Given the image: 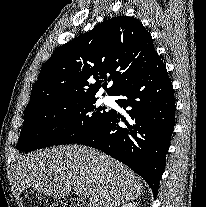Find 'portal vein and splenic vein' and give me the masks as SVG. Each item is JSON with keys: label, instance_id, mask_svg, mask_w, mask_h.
Returning a JSON list of instances; mask_svg holds the SVG:
<instances>
[{"label": "portal vein and splenic vein", "instance_id": "portal-vein-and-splenic-vein-1", "mask_svg": "<svg viewBox=\"0 0 206 207\" xmlns=\"http://www.w3.org/2000/svg\"><path fill=\"white\" fill-rule=\"evenodd\" d=\"M75 191H76V195H78L81 199L86 198L87 195L84 191H81L79 189H75Z\"/></svg>", "mask_w": 206, "mask_h": 207}]
</instances>
